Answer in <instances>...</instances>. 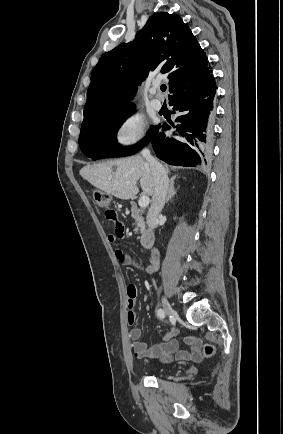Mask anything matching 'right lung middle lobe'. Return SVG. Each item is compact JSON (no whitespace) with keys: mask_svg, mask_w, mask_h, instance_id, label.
<instances>
[{"mask_svg":"<svg viewBox=\"0 0 283 434\" xmlns=\"http://www.w3.org/2000/svg\"><path fill=\"white\" fill-rule=\"evenodd\" d=\"M133 113V109L112 115L99 123L81 129L79 145L81 151L93 160L105 157H122L137 153L154 136L157 129L151 126L147 136L136 145L123 148L116 140L117 130Z\"/></svg>","mask_w":283,"mask_h":434,"instance_id":"obj_1","label":"right lung middle lobe"}]
</instances>
